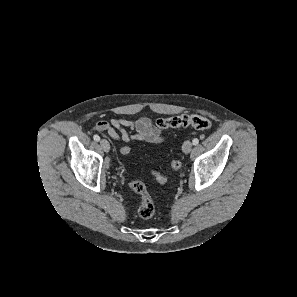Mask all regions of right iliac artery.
<instances>
[{
	"mask_svg": "<svg viewBox=\"0 0 297 297\" xmlns=\"http://www.w3.org/2000/svg\"><path fill=\"white\" fill-rule=\"evenodd\" d=\"M93 139L98 142L100 140V137L96 134L93 136Z\"/></svg>",
	"mask_w": 297,
	"mask_h": 297,
	"instance_id": "obj_1",
	"label": "right iliac artery"
}]
</instances>
